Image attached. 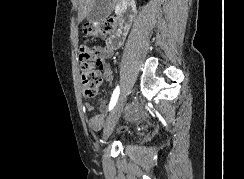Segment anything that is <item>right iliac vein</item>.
<instances>
[{"label": "right iliac vein", "mask_w": 244, "mask_h": 179, "mask_svg": "<svg viewBox=\"0 0 244 179\" xmlns=\"http://www.w3.org/2000/svg\"><path fill=\"white\" fill-rule=\"evenodd\" d=\"M124 97H125V94H122L121 97L116 102L115 106L113 107L112 112L109 114V117L105 123V128H104V136H103L104 140L109 138L116 123L119 120L122 108L124 106V101H125Z\"/></svg>", "instance_id": "obj_1"}]
</instances>
